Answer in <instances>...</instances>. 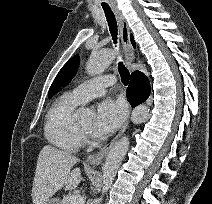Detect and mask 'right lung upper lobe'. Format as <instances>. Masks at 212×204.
<instances>
[{"instance_id":"1","label":"right lung upper lobe","mask_w":212,"mask_h":204,"mask_svg":"<svg viewBox=\"0 0 212 204\" xmlns=\"http://www.w3.org/2000/svg\"><path fill=\"white\" fill-rule=\"evenodd\" d=\"M130 38H131V42H132L133 46H135V42L133 40V36L131 35Z\"/></svg>"}]
</instances>
